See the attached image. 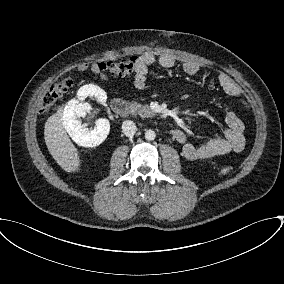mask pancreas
<instances>
[{
    "label": "pancreas",
    "mask_w": 284,
    "mask_h": 284,
    "mask_svg": "<svg viewBox=\"0 0 284 284\" xmlns=\"http://www.w3.org/2000/svg\"><path fill=\"white\" fill-rule=\"evenodd\" d=\"M130 109L133 115H139L144 118L153 117L155 115V113L148 106L137 102L130 103Z\"/></svg>",
    "instance_id": "obj_1"
}]
</instances>
